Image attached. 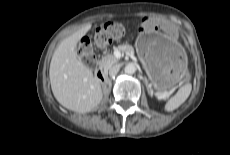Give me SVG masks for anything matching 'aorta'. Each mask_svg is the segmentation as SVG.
Returning a JSON list of instances; mask_svg holds the SVG:
<instances>
[{
    "instance_id": "1",
    "label": "aorta",
    "mask_w": 230,
    "mask_h": 155,
    "mask_svg": "<svg viewBox=\"0 0 230 155\" xmlns=\"http://www.w3.org/2000/svg\"><path fill=\"white\" fill-rule=\"evenodd\" d=\"M124 71H125L126 74H129V75L134 74L135 71H136V66H135V64H134V63H128V64L125 66Z\"/></svg>"
}]
</instances>
